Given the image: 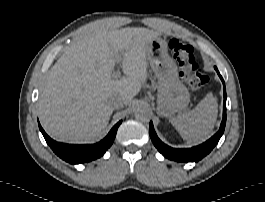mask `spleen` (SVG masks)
<instances>
[{"mask_svg":"<svg viewBox=\"0 0 265 202\" xmlns=\"http://www.w3.org/2000/svg\"><path fill=\"white\" fill-rule=\"evenodd\" d=\"M217 114V100L208 94L193 110L172 118L170 122L184 140L200 143L210 136Z\"/></svg>","mask_w":265,"mask_h":202,"instance_id":"1","label":"spleen"}]
</instances>
